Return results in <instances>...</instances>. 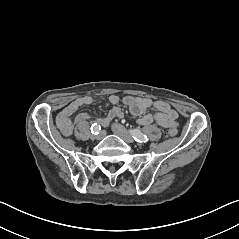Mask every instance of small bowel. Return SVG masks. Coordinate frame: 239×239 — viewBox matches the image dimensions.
I'll use <instances>...</instances> for the list:
<instances>
[{"mask_svg":"<svg viewBox=\"0 0 239 239\" xmlns=\"http://www.w3.org/2000/svg\"><path fill=\"white\" fill-rule=\"evenodd\" d=\"M97 99L91 96H84L65 106L57 116V125L65 136H69L73 132L74 123L85 121L91 117L86 113H80L74 118L71 116L77 109L83 105H89L96 102ZM108 102L112 105L111 110L102 118H97V124L108 126L114 118H123L124 113L119 107L120 98L117 95H111ZM122 102L129 108L131 115L137 117V122L141 125H150L157 123L158 125L169 128L176 127L178 113L165 101H152L149 98L124 96ZM154 108L155 113H145L148 109Z\"/></svg>","mask_w":239,"mask_h":239,"instance_id":"obj_1","label":"small bowel"}]
</instances>
